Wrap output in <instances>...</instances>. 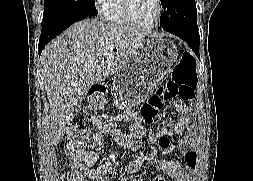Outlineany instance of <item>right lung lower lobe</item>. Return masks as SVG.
<instances>
[{"instance_id": "98d812e1", "label": "right lung lower lobe", "mask_w": 253, "mask_h": 181, "mask_svg": "<svg viewBox=\"0 0 253 181\" xmlns=\"http://www.w3.org/2000/svg\"><path fill=\"white\" fill-rule=\"evenodd\" d=\"M87 14H81V15H74L71 17L66 18L65 20H62L58 23H55L53 25H49L46 27H42L40 39H39V45H38V53L41 54L43 48L45 45L51 41L54 37L59 35L61 32H63L66 28H68L71 24L85 19Z\"/></svg>"}]
</instances>
